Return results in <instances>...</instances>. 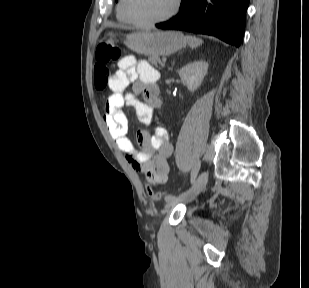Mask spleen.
<instances>
[{"label": "spleen", "mask_w": 309, "mask_h": 288, "mask_svg": "<svg viewBox=\"0 0 309 288\" xmlns=\"http://www.w3.org/2000/svg\"><path fill=\"white\" fill-rule=\"evenodd\" d=\"M187 41H188V43H189V45L192 49L197 48L198 46L202 45V43H203L202 39H199L195 36H187Z\"/></svg>", "instance_id": "3e777b00"}]
</instances>
